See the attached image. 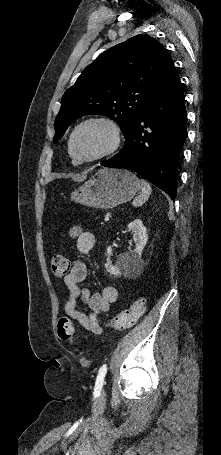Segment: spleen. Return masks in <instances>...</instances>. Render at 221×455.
Segmentation results:
<instances>
[{"label":"spleen","mask_w":221,"mask_h":455,"mask_svg":"<svg viewBox=\"0 0 221 455\" xmlns=\"http://www.w3.org/2000/svg\"><path fill=\"white\" fill-rule=\"evenodd\" d=\"M141 185H142V194H140L133 200L132 205L134 207H139L142 204H144L148 200V198L152 192L150 184L148 182H146L145 180H141Z\"/></svg>","instance_id":"3e777b00"}]
</instances>
